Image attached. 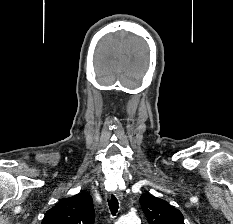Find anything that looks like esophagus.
Listing matches in <instances>:
<instances>
[{
    "label": "esophagus",
    "mask_w": 233,
    "mask_h": 224,
    "mask_svg": "<svg viewBox=\"0 0 233 224\" xmlns=\"http://www.w3.org/2000/svg\"><path fill=\"white\" fill-rule=\"evenodd\" d=\"M114 195L117 197V199L121 200L123 198V193L120 190L114 191Z\"/></svg>",
    "instance_id": "obj_1"
}]
</instances>
